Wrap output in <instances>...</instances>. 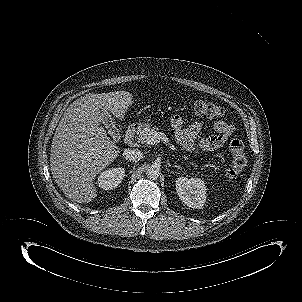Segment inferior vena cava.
<instances>
[{
	"instance_id": "obj_1",
	"label": "inferior vena cava",
	"mask_w": 302,
	"mask_h": 302,
	"mask_svg": "<svg viewBox=\"0 0 302 302\" xmlns=\"http://www.w3.org/2000/svg\"><path fill=\"white\" fill-rule=\"evenodd\" d=\"M123 156L125 159L135 162L143 159L144 157L143 153L140 150L129 148L123 151Z\"/></svg>"
}]
</instances>
